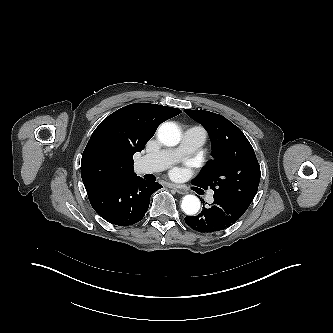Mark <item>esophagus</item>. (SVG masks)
Segmentation results:
<instances>
[{"label":"esophagus","instance_id":"esophagus-1","mask_svg":"<svg viewBox=\"0 0 333 333\" xmlns=\"http://www.w3.org/2000/svg\"><path fill=\"white\" fill-rule=\"evenodd\" d=\"M168 187L171 188V189H174L179 194H186L187 193V191L184 188H182L178 185H175V184H169Z\"/></svg>","mask_w":333,"mask_h":333}]
</instances>
